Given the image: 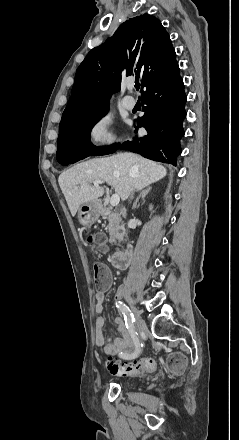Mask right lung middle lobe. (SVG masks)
<instances>
[{
    "instance_id": "right-lung-middle-lobe-1",
    "label": "right lung middle lobe",
    "mask_w": 239,
    "mask_h": 440,
    "mask_svg": "<svg viewBox=\"0 0 239 440\" xmlns=\"http://www.w3.org/2000/svg\"><path fill=\"white\" fill-rule=\"evenodd\" d=\"M108 110L109 106L60 123L58 150L68 146H77L79 144L91 145V129L108 112Z\"/></svg>"
}]
</instances>
